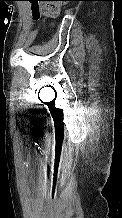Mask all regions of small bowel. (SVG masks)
Returning <instances> with one entry per match:
<instances>
[{"label":"small bowel","mask_w":122,"mask_h":218,"mask_svg":"<svg viewBox=\"0 0 122 218\" xmlns=\"http://www.w3.org/2000/svg\"><path fill=\"white\" fill-rule=\"evenodd\" d=\"M34 6H38V7H39L40 5H39V4L35 5V4L32 3V8H33ZM32 8H31V9H32Z\"/></svg>","instance_id":"small-bowel-1"}]
</instances>
